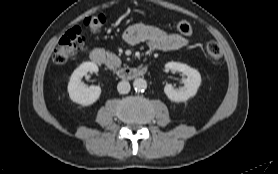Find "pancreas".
Masks as SVG:
<instances>
[{
    "mask_svg": "<svg viewBox=\"0 0 278 174\" xmlns=\"http://www.w3.org/2000/svg\"><path fill=\"white\" fill-rule=\"evenodd\" d=\"M109 60H108V66L109 67H114V66H119L120 65V61L116 64L115 63V59L116 57L112 54H108Z\"/></svg>",
    "mask_w": 278,
    "mask_h": 174,
    "instance_id": "obj_1",
    "label": "pancreas"
}]
</instances>
